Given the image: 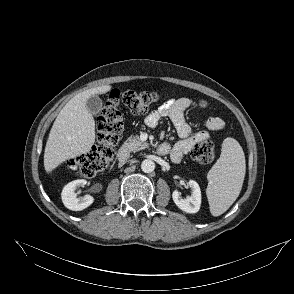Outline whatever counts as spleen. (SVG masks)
Listing matches in <instances>:
<instances>
[{"mask_svg":"<svg viewBox=\"0 0 294 294\" xmlns=\"http://www.w3.org/2000/svg\"><path fill=\"white\" fill-rule=\"evenodd\" d=\"M246 164L242 147L234 138L222 143L221 155L208 172L206 190L210 212L219 216L229 209L240 194Z\"/></svg>","mask_w":294,"mask_h":294,"instance_id":"1","label":"spleen"}]
</instances>
